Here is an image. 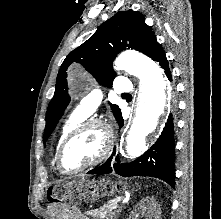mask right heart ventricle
<instances>
[{
	"mask_svg": "<svg viewBox=\"0 0 221 219\" xmlns=\"http://www.w3.org/2000/svg\"><path fill=\"white\" fill-rule=\"evenodd\" d=\"M87 117L82 116L81 114H79L78 112H73L66 120L65 122L62 124L57 140H56V144H55V151H54V162L56 163V153L57 150L61 144V142L63 141V139L66 137V135L73 129L75 128L77 125H79L80 123H82L83 121H85Z\"/></svg>",
	"mask_w": 221,
	"mask_h": 219,
	"instance_id": "obj_1",
	"label": "right heart ventricle"
}]
</instances>
